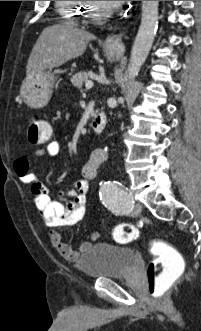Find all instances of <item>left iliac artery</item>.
<instances>
[{"mask_svg":"<svg viewBox=\"0 0 201 331\" xmlns=\"http://www.w3.org/2000/svg\"><path fill=\"white\" fill-rule=\"evenodd\" d=\"M100 185V199L112 213L123 215L132 210L134 201L121 183L108 181Z\"/></svg>","mask_w":201,"mask_h":331,"instance_id":"1","label":"left iliac artery"}]
</instances>
